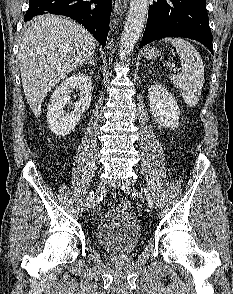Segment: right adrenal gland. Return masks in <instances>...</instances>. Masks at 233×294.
Listing matches in <instances>:
<instances>
[{"instance_id": "right-adrenal-gland-1", "label": "right adrenal gland", "mask_w": 233, "mask_h": 294, "mask_svg": "<svg viewBox=\"0 0 233 294\" xmlns=\"http://www.w3.org/2000/svg\"><path fill=\"white\" fill-rule=\"evenodd\" d=\"M89 64H93L94 66H96V62L94 61V57L90 58L88 61Z\"/></svg>"}]
</instances>
